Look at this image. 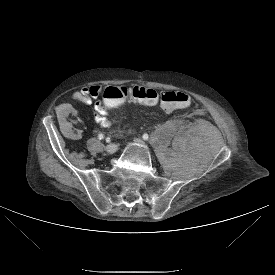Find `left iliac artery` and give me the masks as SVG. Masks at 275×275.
<instances>
[{
    "label": "left iliac artery",
    "mask_w": 275,
    "mask_h": 275,
    "mask_svg": "<svg viewBox=\"0 0 275 275\" xmlns=\"http://www.w3.org/2000/svg\"><path fill=\"white\" fill-rule=\"evenodd\" d=\"M142 137H143V139H144V140H148V138H149L148 134H146V133H145V134H143V136H142Z\"/></svg>",
    "instance_id": "1"
}]
</instances>
